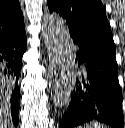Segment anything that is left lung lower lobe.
Instances as JSON below:
<instances>
[{"label": "left lung lower lobe", "instance_id": "obj_1", "mask_svg": "<svg viewBox=\"0 0 125 128\" xmlns=\"http://www.w3.org/2000/svg\"><path fill=\"white\" fill-rule=\"evenodd\" d=\"M81 73L59 128H74L92 120L122 128V92L115 53L77 44Z\"/></svg>", "mask_w": 125, "mask_h": 128}]
</instances>
